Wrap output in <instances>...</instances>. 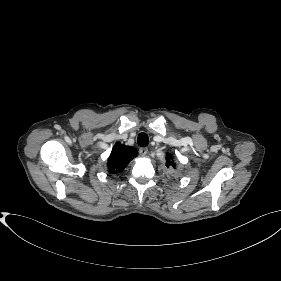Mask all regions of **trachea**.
Returning <instances> with one entry per match:
<instances>
[{
    "instance_id": "trachea-1",
    "label": "trachea",
    "mask_w": 281,
    "mask_h": 281,
    "mask_svg": "<svg viewBox=\"0 0 281 281\" xmlns=\"http://www.w3.org/2000/svg\"><path fill=\"white\" fill-rule=\"evenodd\" d=\"M137 143L140 147H145L149 144V138L146 133H140L137 138Z\"/></svg>"
}]
</instances>
